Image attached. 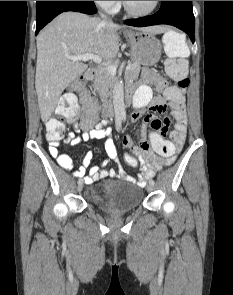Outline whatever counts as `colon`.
Segmentation results:
<instances>
[{
    "label": "colon",
    "mask_w": 233,
    "mask_h": 295,
    "mask_svg": "<svg viewBox=\"0 0 233 295\" xmlns=\"http://www.w3.org/2000/svg\"><path fill=\"white\" fill-rule=\"evenodd\" d=\"M163 46L168 60L166 62L167 74L176 82L169 87L172 96L183 94L189 85L187 71V57L190 54L187 39L176 31H169L163 37ZM86 91V79L81 77L75 80L69 87V92L64 94L58 107L55 110V116L46 121V135L49 141L57 142L64 134L65 124L61 118H73L78 113V105L74 94L80 96ZM96 110H91L87 117L94 118ZM166 133L160 132L152 136L153 147L160 156H170L175 147L170 140L164 139ZM125 164L130 167H136L138 161L135 156L125 154Z\"/></svg>",
    "instance_id": "colon-1"
}]
</instances>
